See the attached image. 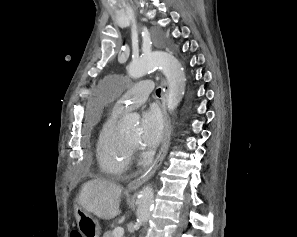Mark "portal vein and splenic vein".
<instances>
[{"label": "portal vein and splenic vein", "mask_w": 297, "mask_h": 237, "mask_svg": "<svg viewBox=\"0 0 297 237\" xmlns=\"http://www.w3.org/2000/svg\"><path fill=\"white\" fill-rule=\"evenodd\" d=\"M124 229L122 227H117L113 231V237H123Z\"/></svg>", "instance_id": "1"}]
</instances>
